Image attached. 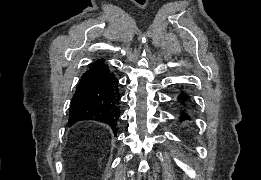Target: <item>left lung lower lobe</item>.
<instances>
[{
	"instance_id": "left-lung-lower-lobe-1",
	"label": "left lung lower lobe",
	"mask_w": 261,
	"mask_h": 180,
	"mask_svg": "<svg viewBox=\"0 0 261 180\" xmlns=\"http://www.w3.org/2000/svg\"><path fill=\"white\" fill-rule=\"evenodd\" d=\"M177 106L182 110L180 117H179V122H185L186 120H189V115L186 112L187 109H189L191 100L190 97L187 93L181 91L177 95V100H176Z\"/></svg>"
}]
</instances>
